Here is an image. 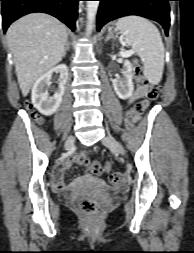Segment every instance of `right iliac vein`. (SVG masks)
Wrapping results in <instances>:
<instances>
[{
	"label": "right iliac vein",
	"mask_w": 194,
	"mask_h": 253,
	"mask_svg": "<svg viewBox=\"0 0 194 253\" xmlns=\"http://www.w3.org/2000/svg\"><path fill=\"white\" fill-rule=\"evenodd\" d=\"M73 144H74V137L69 136L65 142L64 149L65 150L70 149L73 146Z\"/></svg>",
	"instance_id": "obj_1"
}]
</instances>
